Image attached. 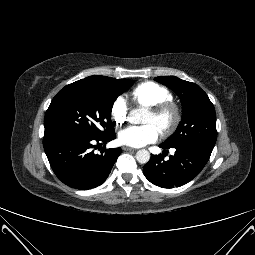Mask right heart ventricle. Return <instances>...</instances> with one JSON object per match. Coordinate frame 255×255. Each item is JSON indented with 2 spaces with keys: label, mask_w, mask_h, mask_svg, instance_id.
Masks as SVG:
<instances>
[{
  "label": "right heart ventricle",
  "mask_w": 255,
  "mask_h": 255,
  "mask_svg": "<svg viewBox=\"0 0 255 255\" xmlns=\"http://www.w3.org/2000/svg\"><path fill=\"white\" fill-rule=\"evenodd\" d=\"M130 97L139 106H151L162 101L172 100V93L156 82L146 81L134 87L130 92Z\"/></svg>",
  "instance_id": "1"
}]
</instances>
